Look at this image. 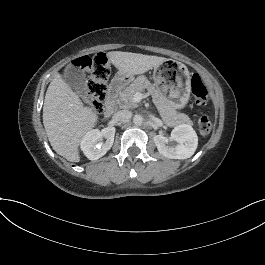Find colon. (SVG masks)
Wrapping results in <instances>:
<instances>
[{"instance_id": "obj_1", "label": "colon", "mask_w": 265, "mask_h": 265, "mask_svg": "<svg viewBox=\"0 0 265 265\" xmlns=\"http://www.w3.org/2000/svg\"><path fill=\"white\" fill-rule=\"evenodd\" d=\"M73 65L89 71L85 102L93 110L100 111L106 97V82L110 73L107 55L101 52L93 56H82L74 60ZM191 88L197 105L204 106L208 100V90L199 75L192 76ZM198 128L201 135H208L211 132L212 123L208 116L202 115L199 118Z\"/></svg>"}]
</instances>
